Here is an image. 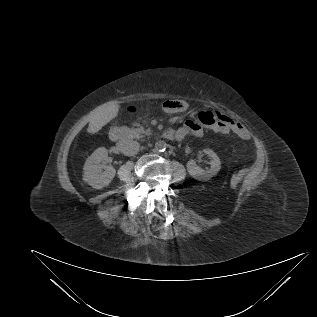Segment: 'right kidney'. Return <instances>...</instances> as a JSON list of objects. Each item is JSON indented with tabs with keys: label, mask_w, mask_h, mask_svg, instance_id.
<instances>
[{
	"label": "right kidney",
	"mask_w": 317,
	"mask_h": 317,
	"mask_svg": "<svg viewBox=\"0 0 317 317\" xmlns=\"http://www.w3.org/2000/svg\"><path fill=\"white\" fill-rule=\"evenodd\" d=\"M107 157L108 150L100 147L88 157L84 164L83 180L95 189L108 186L115 177L114 167L103 164Z\"/></svg>",
	"instance_id": "1"
}]
</instances>
